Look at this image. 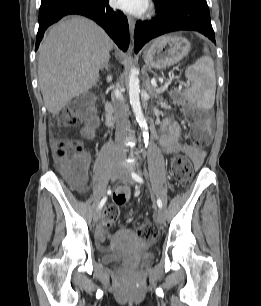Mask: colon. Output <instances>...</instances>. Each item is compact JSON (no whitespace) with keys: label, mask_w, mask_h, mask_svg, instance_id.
I'll return each instance as SVG.
<instances>
[{"label":"colon","mask_w":261,"mask_h":306,"mask_svg":"<svg viewBox=\"0 0 261 306\" xmlns=\"http://www.w3.org/2000/svg\"><path fill=\"white\" fill-rule=\"evenodd\" d=\"M191 129L190 140L197 146L205 147L211 136L208 118L198 110H189ZM95 116L91 106L90 96L85 95L75 99L58 117V124L64 128H71L80 124L85 125V135L90 136ZM55 159L65 178L72 184L81 186L87 178V168L84 159L82 142L74 139H60L55 146ZM174 180L187 183L193 176V165L184 153L176 154L171 162ZM126 187H121L114 193L113 202L104 211L102 224L106 230L116 222L120 214V206L128 200ZM138 236L145 241H152L158 235L156 226L152 223H142L136 228Z\"/></svg>","instance_id":"colon-1"}]
</instances>
